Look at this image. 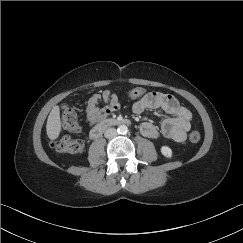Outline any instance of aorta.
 <instances>
[{"instance_id":"762f6f07","label":"aorta","mask_w":243,"mask_h":243,"mask_svg":"<svg viewBox=\"0 0 243 243\" xmlns=\"http://www.w3.org/2000/svg\"><path fill=\"white\" fill-rule=\"evenodd\" d=\"M127 131H128V128H127V126L126 125H120L118 128H117V132L119 133V134H125V133H127Z\"/></svg>"}]
</instances>
